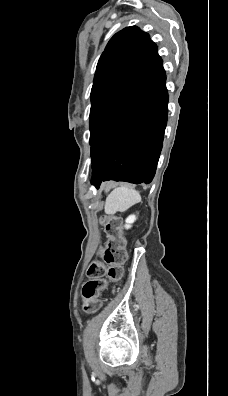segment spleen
Returning <instances> with one entry per match:
<instances>
[{
  "label": "spleen",
  "instance_id": "spleen-1",
  "mask_svg": "<svg viewBox=\"0 0 228 396\" xmlns=\"http://www.w3.org/2000/svg\"><path fill=\"white\" fill-rule=\"evenodd\" d=\"M141 201L139 192L126 186L115 188L106 198L105 212L115 214L124 212Z\"/></svg>",
  "mask_w": 228,
  "mask_h": 396
}]
</instances>
